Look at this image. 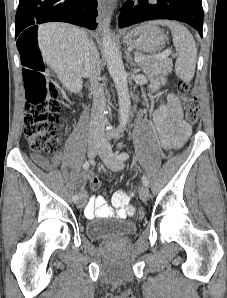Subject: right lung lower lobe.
Wrapping results in <instances>:
<instances>
[{
	"mask_svg": "<svg viewBox=\"0 0 227 298\" xmlns=\"http://www.w3.org/2000/svg\"><path fill=\"white\" fill-rule=\"evenodd\" d=\"M97 15V0H20L15 36L22 65H26L28 42L36 43L37 24L60 21L95 29Z\"/></svg>",
	"mask_w": 227,
	"mask_h": 298,
	"instance_id": "1",
	"label": "right lung lower lobe"
}]
</instances>
